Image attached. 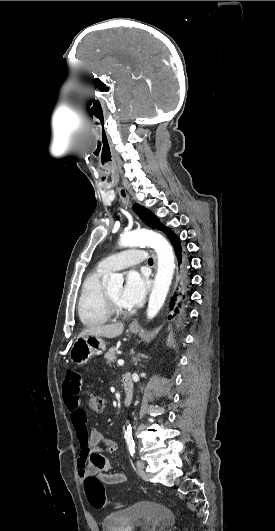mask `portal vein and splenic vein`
<instances>
[{"instance_id":"portal-vein-and-splenic-vein-1","label":"portal vein and splenic vein","mask_w":275,"mask_h":531,"mask_svg":"<svg viewBox=\"0 0 275 531\" xmlns=\"http://www.w3.org/2000/svg\"><path fill=\"white\" fill-rule=\"evenodd\" d=\"M117 363H118V365H124L123 359H118Z\"/></svg>"}]
</instances>
